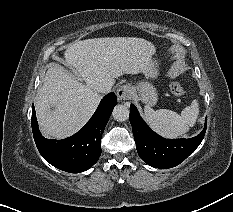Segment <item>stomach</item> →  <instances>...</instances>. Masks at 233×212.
<instances>
[{
	"label": "stomach",
	"mask_w": 233,
	"mask_h": 212,
	"mask_svg": "<svg viewBox=\"0 0 233 212\" xmlns=\"http://www.w3.org/2000/svg\"><path fill=\"white\" fill-rule=\"evenodd\" d=\"M147 79H155L159 75V63L156 59L152 58L148 69L144 72ZM134 91L138 98L148 106H153L157 103L156 88L149 82H140L134 86Z\"/></svg>",
	"instance_id": "0dacf381"
}]
</instances>
